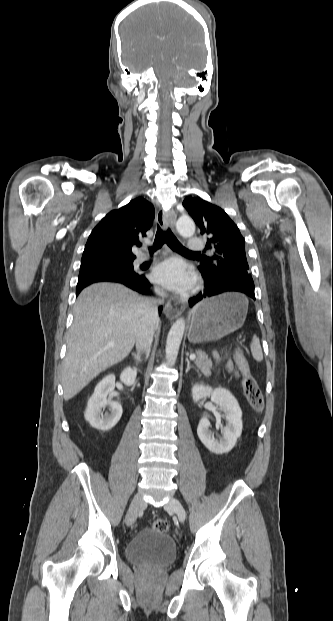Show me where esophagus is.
Here are the masks:
<instances>
[{
	"mask_svg": "<svg viewBox=\"0 0 333 621\" xmlns=\"http://www.w3.org/2000/svg\"><path fill=\"white\" fill-rule=\"evenodd\" d=\"M156 220L163 229L170 227L174 230L176 223V214L174 210L165 211L160 209L157 212ZM186 305L187 302L185 300H169L165 305L164 313L169 320H174L183 312V310L186 308Z\"/></svg>",
	"mask_w": 333,
	"mask_h": 621,
	"instance_id": "34e87169",
	"label": "esophagus"
}]
</instances>
